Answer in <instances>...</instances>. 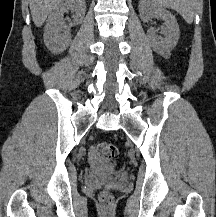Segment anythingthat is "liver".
<instances>
[{"label":"liver","mask_w":216,"mask_h":217,"mask_svg":"<svg viewBox=\"0 0 216 217\" xmlns=\"http://www.w3.org/2000/svg\"><path fill=\"white\" fill-rule=\"evenodd\" d=\"M64 0H29L34 24L41 27L47 16Z\"/></svg>","instance_id":"6515ba94"}]
</instances>
